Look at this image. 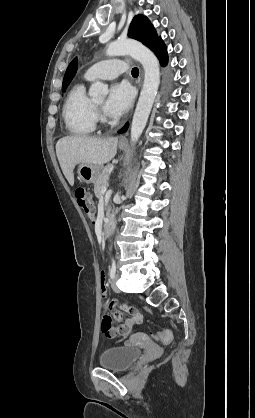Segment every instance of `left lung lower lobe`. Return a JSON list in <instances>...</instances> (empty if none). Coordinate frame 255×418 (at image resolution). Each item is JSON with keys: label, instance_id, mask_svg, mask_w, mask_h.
<instances>
[{"label": "left lung lower lobe", "instance_id": "left-lung-lower-lobe-1", "mask_svg": "<svg viewBox=\"0 0 255 418\" xmlns=\"http://www.w3.org/2000/svg\"><path fill=\"white\" fill-rule=\"evenodd\" d=\"M153 52L158 57L162 66L167 65L168 54H167V49L164 43H161ZM127 128H128V123L119 131V133L125 132Z\"/></svg>", "mask_w": 255, "mask_h": 418}]
</instances>
